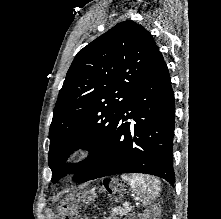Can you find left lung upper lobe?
<instances>
[{
  "instance_id": "5c2ea615",
  "label": "left lung upper lobe",
  "mask_w": 221,
  "mask_h": 219,
  "mask_svg": "<svg viewBox=\"0 0 221 219\" xmlns=\"http://www.w3.org/2000/svg\"><path fill=\"white\" fill-rule=\"evenodd\" d=\"M158 47L134 21H124L76 55L59 92L49 130V167L55 182L67 171L79 182L96 163L127 102L144 80ZM90 150L79 166L69 153Z\"/></svg>"
}]
</instances>
